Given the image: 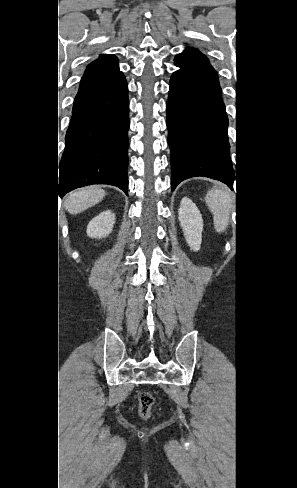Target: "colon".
I'll return each mask as SVG.
<instances>
[{"instance_id": "colon-1", "label": "colon", "mask_w": 297, "mask_h": 488, "mask_svg": "<svg viewBox=\"0 0 297 488\" xmlns=\"http://www.w3.org/2000/svg\"><path fill=\"white\" fill-rule=\"evenodd\" d=\"M154 406V397L149 392H142L138 397V413L139 416L147 420L151 417Z\"/></svg>"}]
</instances>
